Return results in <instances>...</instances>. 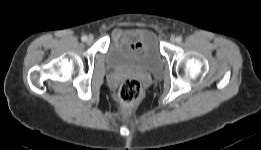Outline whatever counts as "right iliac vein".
Masks as SVG:
<instances>
[{
  "instance_id": "63e3f726",
  "label": "right iliac vein",
  "mask_w": 261,
  "mask_h": 150,
  "mask_svg": "<svg viewBox=\"0 0 261 150\" xmlns=\"http://www.w3.org/2000/svg\"><path fill=\"white\" fill-rule=\"evenodd\" d=\"M93 39H94V37H93L92 35H90V36L87 38V41H88L89 43H91V42L93 41Z\"/></svg>"
}]
</instances>
